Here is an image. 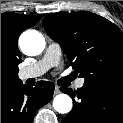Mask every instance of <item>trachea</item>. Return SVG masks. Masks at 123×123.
Returning <instances> with one entry per match:
<instances>
[{
	"label": "trachea",
	"instance_id": "3493384b",
	"mask_svg": "<svg viewBox=\"0 0 123 123\" xmlns=\"http://www.w3.org/2000/svg\"><path fill=\"white\" fill-rule=\"evenodd\" d=\"M74 79V76L73 75H70V76H67L65 78H62L58 81L59 85H62V86H68L69 83Z\"/></svg>",
	"mask_w": 123,
	"mask_h": 123
}]
</instances>
